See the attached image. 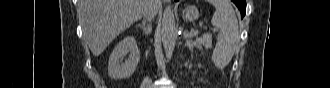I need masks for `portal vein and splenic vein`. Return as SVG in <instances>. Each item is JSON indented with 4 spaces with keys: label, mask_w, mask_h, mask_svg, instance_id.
Wrapping results in <instances>:
<instances>
[{
    "label": "portal vein and splenic vein",
    "mask_w": 330,
    "mask_h": 88,
    "mask_svg": "<svg viewBox=\"0 0 330 88\" xmlns=\"http://www.w3.org/2000/svg\"><path fill=\"white\" fill-rule=\"evenodd\" d=\"M214 31H217V30H214ZM195 34H196V32L187 33V34L184 35V37L185 38H191Z\"/></svg>",
    "instance_id": "obj_1"
}]
</instances>
